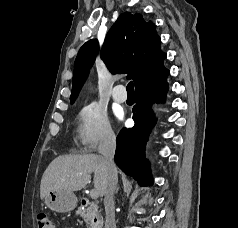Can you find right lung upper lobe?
<instances>
[{
  "mask_svg": "<svg viewBox=\"0 0 238 228\" xmlns=\"http://www.w3.org/2000/svg\"><path fill=\"white\" fill-rule=\"evenodd\" d=\"M160 37L155 25L145 22L141 14L122 13L106 36L101 57L113 73H128L135 87L151 80L164 68L166 54L160 49ZM99 52L97 40H89L79 50L74 63L72 93L73 103L87 78L96 55Z\"/></svg>",
  "mask_w": 238,
  "mask_h": 228,
  "instance_id": "1",
  "label": "right lung upper lobe"
}]
</instances>
